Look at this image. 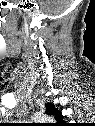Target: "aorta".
I'll list each match as a JSON object with an SVG mask.
<instances>
[{
	"instance_id": "1",
	"label": "aorta",
	"mask_w": 95,
	"mask_h": 126,
	"mask_svg": "<svg viewBox=\"0 0 95 126\" xmlns=\"http://www.w3.org/2000/svg\"><path fill=\"white\" fill-rule=\"evenodd\" d=\"M33 119H34V121H37L38 123H45V122L53 121V119H51L50 117H48L46 115H42V114L34 115Z\"/></svg>"
}]
</instances>
